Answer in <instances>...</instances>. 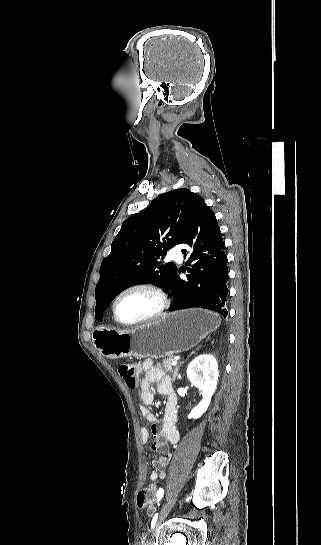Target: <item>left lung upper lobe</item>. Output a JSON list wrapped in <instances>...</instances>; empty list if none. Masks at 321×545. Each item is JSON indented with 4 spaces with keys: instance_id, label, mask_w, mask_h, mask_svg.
<instances>
[{
    "instance_id": "1",
    "label": "left lung upper lobe",
    "mask_w": 321,
    "mask_h": 545,
    "mask_svg": "<svg viewBox=\"0 0 321 545\" xmlns=\"http://www.w3.org/2000/svg\"><path fill=\"white\" fill-rule=\"evenodd\" d=\"M204 203L189 189H177L155 198L144 210L122 224L112 242V250L100 268L95 289V318L123 290L137 284L159 283L167 286L177 267L159 259L179 244L197 206Z\"/></svg>"
}]
</instances>
